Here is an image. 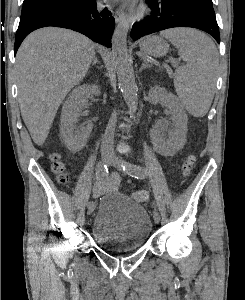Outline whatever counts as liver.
<instances>
[{"label":"liver","mask_w":245,"mask_h":300,"mask_svg":"<svg viewBox=\"0 0 245 300\" xmlns=\"http://www.w3.org/2000/svg\"><path fill=\"white\" fill-rule=\"evenodd\" d=\"M94 43L74 31L46 27L32 32L16 55L21 115L35 144L45 142L56 112L87 74Z\"/></svg>","instance_id":"1"}]
</instances>
